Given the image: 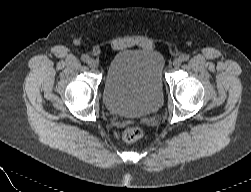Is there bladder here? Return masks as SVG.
I'll return each mask as SVG.
<instances>
[{
    "label": "bladder",
    "mask_w": 251,
    "mask_h": 192,
    "mask_svg": "<svg viewBox=\"0 0 251 192\" xmlns=\"http://www.w3.org/2000/svg\"><path fill=\"white\" fill-rule=\"evenodd\" d=\"M164 58L156 50L125 49L110 62L103 102L114 115L138 117L159 109L163 101Z\"/></svg>",
    "instance_id": "obj_1"
}]
</instances>
